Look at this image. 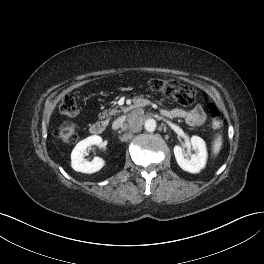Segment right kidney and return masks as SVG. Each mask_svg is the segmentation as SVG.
I'll return each instance as SVG.
<instances>
[{"label":"right kidney","instance_id":"right-kidney-1","mask_svg":"<svg viewBox=\"0 0 264 264\" xmlns=\"http://www.w3.org/2000/svg\"><path fill=\"white\" fill-rule=\"evenodd\" d=\"M102 143V138L98 135H92L84 140L77 143L71 153V166L75 171L82 173H95L101 170L105 161L100 157H95L92 161H87L84 158L86 149L92 145L100 146Z\"/></svg>","mask_w":264,"mask_h":264}]
</instances>
